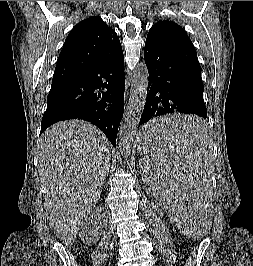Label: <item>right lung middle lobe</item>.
<instances>
[{
  "label": "right lung middle lobe",
  "mask_w": 253,
  "mask_h": 266,
  "mask_svg": "<svg viewBox=\"0 0 253 266\" xmlns=\"http://www.w3.org/2000/svg\"><path fill=\"white\" fill-rule=\"evenodd\" d=\"M55 86H52L51 89H53ZM51 91V90H50Z\"/></svg>",
  "instance_id": "obj_1"
}]
</instances>
